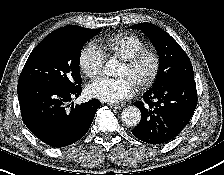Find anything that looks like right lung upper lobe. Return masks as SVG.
<instances>
[{
	"label": "right lung upper lobe",
	"instance_id": "right-lung-upper-lobe-1",
	"mask_svg": "<svg viewBox=\"0 0 224 175\" xmlns=\"http://www.w3.org/2000/svg\"><path fill=\"white\" fill-rule=\"evenodd\" d=\"M76 26H65V27H61L55 31H64V30H69V29H73L75 28Z\"/></svg>",
	"mask_w": 224,
	"mask_h": 175
}]
</instances>
